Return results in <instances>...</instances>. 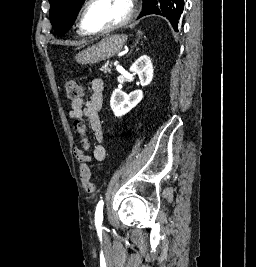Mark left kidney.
<instances>
[{"instance_id": "1", "label": "left kidney", "mask_w": 256, "mask_h": 267, "mask_svg": "<svg viewBox=\"0 0 256 267\" xmlns=\"http://www.w3.org/2000/svg\"><path fill=\"white\" fill-rule=\"evenodd\" d=\"M129 70L130 72H134V74H138L141 86H148L153 80L154 70L149 56H140V58L130 66ZM142 98V90H134V92H130V94H125V92L116 88L110 100L111 110H113L115 116L119 118V116H124V114H128L132 108H135V106L141 102Z\"/></svg>"}]
</instances>
